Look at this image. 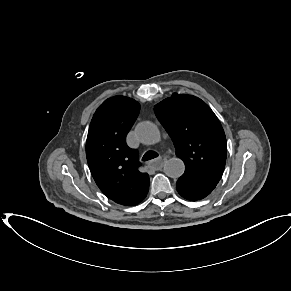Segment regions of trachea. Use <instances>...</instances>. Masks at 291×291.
Instances as JSON below:
<instances>
[{
	"instance_id": "trachea-1",
	"label": "trachea",
	"mask_w": 291,
	"mask_h": 291,
	"mask_svg": "<svg viewBox=\"0 0 291 291\" xmlns=\"http://www.w3.org/2000/svg\"><path fill=\"white\" fill-rule=\"evenodd\" d=\"M156 157H158V154H157L156 152H154V151H147V152L144 154L142 160H143V161H148V160L154 159V158H156Z\"/></svg>"
}]
</instances>
